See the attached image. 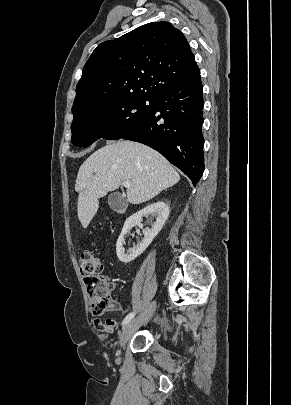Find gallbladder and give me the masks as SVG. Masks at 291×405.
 <instances>
[{
	"label": "gallbladder",
	"instance_id": "obj_1",
	"mask_svg": "<svg viewBox=\"0 0 291 405\" xmlns=\"http://www.w3.org/2000/svg\"><path fill=\"white\" fill-rule=\"evenodd\" d=\"M108 204L115 212H122L127 208V200L120 193H113L108 197Z\"/></svg>",
	"mask_w": 291,
	"mask_h": 405
}]
</instances>
